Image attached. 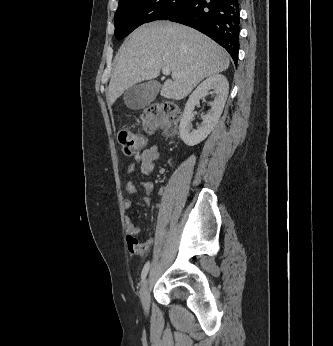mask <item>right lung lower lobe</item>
<instances>
[{
  "mask_svg": "<svg viewBox=\"0 0 333 346\" xmlns=\"http://www.w3.org/2000/svg\"><path fill=\"white\" fill-rule=\"evenodd\" d=\"M239 0H185L166 20L190 26L224 47L237 63Z\"/></svg>",
  "mask_w": 333,
  "mask_h": 346,
  "instance_id": "right-lung-lower-lobe-1",
  "label": "right lung lower lobe"
}]
</instances>
